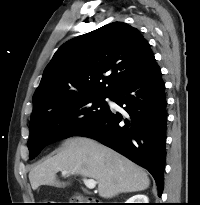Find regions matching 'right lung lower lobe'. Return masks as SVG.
I'll return each instance as SVG.
<instances>
[{"label": "right lung lower lobe", "instance_id": "obj_1", "mask_svg": "<svg viewBox=\"0 0 200 205\" xmlns=\"http://www.w3.org/2000/svg\"><path fill=\"white\" fill-rule=\"evenodd\" d=\"M156 61L122 86L110 99L123 114L110 109L78 136L95 139L147 169L154 177L158 195L164 186L166 159V95Z\"/></svg>", "mask_w": 200, "mask_h": 205}]
</instances>
